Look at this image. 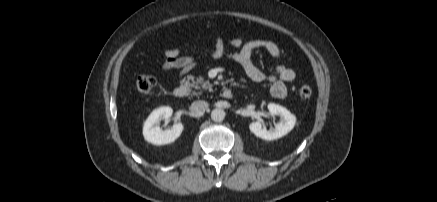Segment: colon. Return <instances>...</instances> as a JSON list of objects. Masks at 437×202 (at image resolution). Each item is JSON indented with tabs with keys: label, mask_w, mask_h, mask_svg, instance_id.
<instances>
[{
	"label": "colon",
	"mask_w": 437,
	"mask_h": 202,
	"mask_svg": "<svg viewBox=\"0 0 437 202\" xmlns=\"http://www.w3.org/2000/svg\"><path fill=\"white\" fill-rule=\"evenodd\" d=\"M136 89L141 94H148L156 85V80L150 75H139L135 81ZM299 95L303 99H308L312 95V89L308 85H303L299 89Z\"/></svg>",
	"instance_id": "5ec220e1"
}]
</instances>
